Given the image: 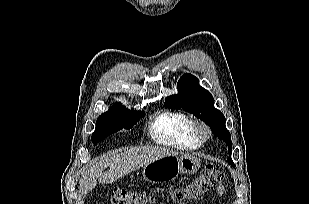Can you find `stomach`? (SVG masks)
<instances>
[{"label": "stomach", "mask_w": 309, "mask_h": 204, "mask_svg": "<svg viewBox=\"0 0 309 204\" xmlns=\"http://www.w3.org/2000/svg\"><path fill=\"white\" fill-rule=\"evenodd\" d=\"M200 160L191 155H169L143 167V178L150 183L174 180L179 174H194L200 168Z\"/></svg>", "instance_id": "stomach-1"}]
</instances>
